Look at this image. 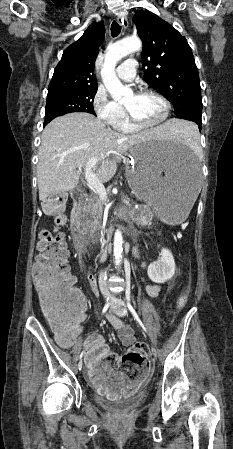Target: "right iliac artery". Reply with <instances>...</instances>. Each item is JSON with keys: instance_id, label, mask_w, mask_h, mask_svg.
<instances>
[{"instance_id": "right-iliac-artery-1", "label": "right iliac artery", "mask_w": 233, "mask_h": 449, "mask_svg": "<svg viewBox=\"0 0 233 449\" xmlns=\"http://www.w3.org/2000/svg\"><path fill=\"white\" fill-rule=\"evenodd\" d=\"M107 301H108V299H107ZM108 308H109V303H107V304L104 306V308H103V310H102V313H105V312L108 310ZM82 356H83V352H82L81 355H80V359L82 358Z\"/></svg>"}]
</instances>
